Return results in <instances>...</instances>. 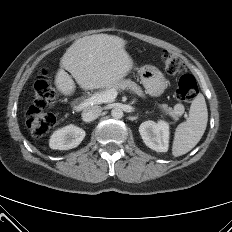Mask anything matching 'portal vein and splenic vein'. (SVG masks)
<instances>
[{"label": "portal vein and splenic vein", "instance_id": "obj_1", "mask_svg": "<svg viewBox=\"0 0 232 232\" xmlns=\"http://www.w3.org/2000/svg\"><path fill=\"white\" fill-rule=\"evenodd\" d=\"M117 95H118V91L115 89L109 90L108 92H105L103 94L93 95L92 97H90V98L84 100L82 103H80L77 106V110L85 109L93 104L112 102L115 100Z\"/></svg>", "mask_w": 232, "mask_h": 232}]
</instances>
